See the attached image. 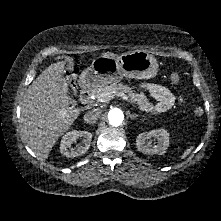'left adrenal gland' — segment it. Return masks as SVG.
I'll use <instances>...</instances> for the list:
<instances>
[{"instance_id":"a2214340","label":"left adrenal gland","mask_w":221,"mask_h":221,"mask_svg":"<svg viewBox=\"0 0 221 221\" xmlns=\"http://www.w3.org/2000/svg\"><path fill=\"white\" fill-rule=\"evenodd\" d=\"M128 116L130 117L131 120H134L136 117H139L138 114H131L130 112H128Z\"/></svg>"}]
</instances>
